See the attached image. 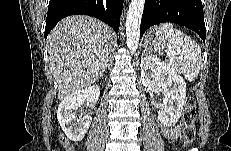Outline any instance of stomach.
Listing matches in <instances>:
<instances>
[{"label":"stomach","instance_id":"obj_1","mask_svg":"<svg viewBox=\"0 0 231 151\" xmlns=\"http://www.w3.org/2000/svg\"><path fill=\"white\" fill-rule=\"evenodd\" d=\"M144 48L148 51H161L167 46V40L159 27L151 28L143 39Z\"/></svg>","mask_w":231,"mask_h":151}]
</instances>
